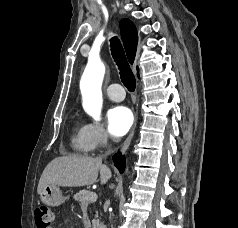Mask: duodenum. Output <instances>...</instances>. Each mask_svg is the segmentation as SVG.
Listing matches in <instances>:
<instances>
[{
  "mask_svg": "<svg viewBox=\"0 0 238 228\" xmlns=\"http://www.w3.org/2000/svg\"><path fill=\"white\" fill-rule=\"evenodd\" d=\"M98 228H107V227L104 225H99Z\"/></svg>",
  "mask_w": 238,
  "mask_h": 228,
  "instance_id": "1",
  "label": "duodenum"
}]
</instances>
